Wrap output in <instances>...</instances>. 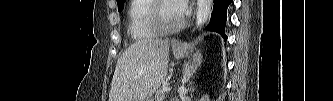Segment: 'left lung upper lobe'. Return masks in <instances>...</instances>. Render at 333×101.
Listing matches in <instances>:
<instances>
[{
  "label": "left lung upper lobe",
  "instance_id": "obj_1",
  "mask_svg": "<svg viewBox=\"0 0 333 101\" xmlns=\"http://www.w3.org/2000/svg\"><path fill=\"white\" fill-rule=\"evenodd\" d=\"M125 0H117L118 3V11H121L123 8Z\"/></svg>",
  "mask_w": 333,
  "mask_h": 101
}]
</instances>
